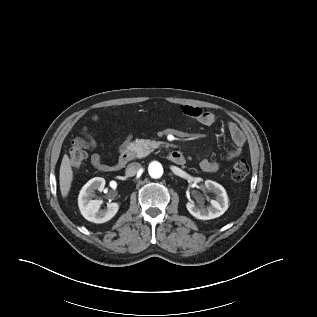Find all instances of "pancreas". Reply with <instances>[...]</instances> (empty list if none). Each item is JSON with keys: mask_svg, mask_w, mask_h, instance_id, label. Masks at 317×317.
Masks as SVG:
<instances>
[{"mask_svg": "<svg viewBox=\"0 0 317 317\" xmlns=\"http://www.w3.org/2000/svg\"><path fill=\"white\" fill-rule=\"evenodd\" d=\"M161 142L148 139H137L129 143L128 153L130 158H143L149 155L155 148H158Z\"/></svg>", "mask_w": 317, "mask_h": 317, "instance_id": "1", "label": "pancreas"}]
</instances>
